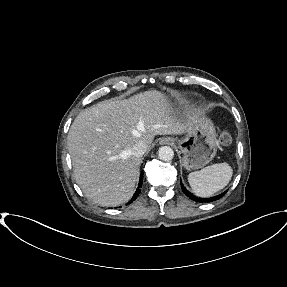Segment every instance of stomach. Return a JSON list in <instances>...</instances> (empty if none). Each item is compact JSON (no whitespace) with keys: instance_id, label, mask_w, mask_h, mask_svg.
<instances>
[{"instance_id":"1","label":"stomach","mask_w":287,"mask_h":287,"mask_svg":"<svg viewBox=\"0 0 287 287\" xmlns=\"http://www.w3.org/2000/svg\"><path fill=\"white\" fill-rule=\"evenodd\" d=\"M216 130L208 118H200L179 141L183 165L187 170H196L207 165L217 152Z\"/></svg>"}]
</instances>
